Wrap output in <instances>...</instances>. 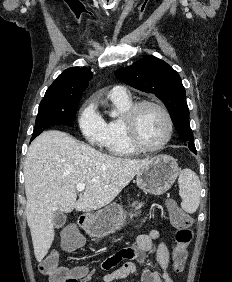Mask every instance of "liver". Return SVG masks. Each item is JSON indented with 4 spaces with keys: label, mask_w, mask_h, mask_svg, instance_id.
Here are the masks:
<instances>
[{
    "label": "liver",
    "mask_w": 232,
    "mask_h": 282,
    "mask_svg": "<svg viewBox=\"0 0 232 282\" xmlns=\"http://www.w3.org/2000/svg\"><path fill=\"white\" fill-rule=\"evenodd\" d=\"M148 160L103 154L59 130L39 135L24 166L26 216L36 260L42 261L54 240L55 212H91L108 205ZM78 183H86V189L77 200Z\"/></svg>",
    "instance_id": "6515ba94"
}]
</instances>
